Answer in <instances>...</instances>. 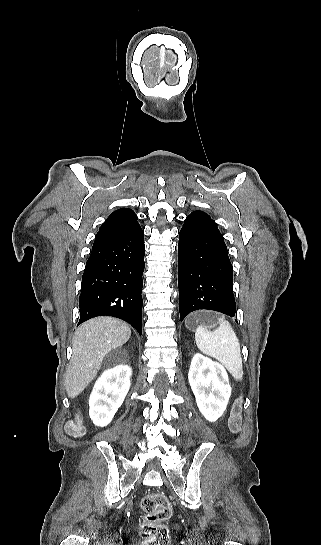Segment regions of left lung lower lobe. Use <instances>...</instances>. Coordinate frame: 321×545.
Returning <instances> with one entry per match:
<instances>
[{"mask_svg": "<svg viewBox=\"0 0 321 545\" xmlns=\"http://www.w3.org/2000/svg\"><path fill=\"white\" fill-rule=\"evenodd\" d=\"M179 311L208 309L230 317L236 313L233 269L217 224L203 211L184 221L178 245Z\"/></svg>", "mask_w": 321, "mask_h": 545, "instance_id": "left-lung-lower-lobe-1", "label": "left lung lower lobe"}]
</instances>
